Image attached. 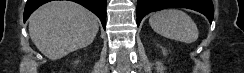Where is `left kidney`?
I'll use <instances>...</instances> for the list:
<instances>
[{
  "label": "left kidney",
  "mask_w": 244,
  "mask_h": 73,
  "mask_svg": "<svg viewBox=\"0 0 244 73\" xmlns=\"http://www.w3.org/2000/svg\"><path fill=\"white\" fill-rule=\"evenodd\" d=\"M162 51H163V54L166 55V51L164 49Z\"/></svg>",
  "instance_id": "left-kidney-1"
}]
</instances>
